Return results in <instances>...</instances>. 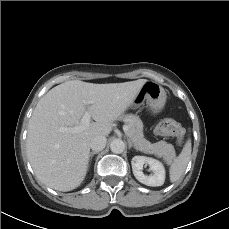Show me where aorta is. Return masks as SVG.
<instances>
[{
	"label": "aorta",
	"instance_id": "aorta-1",
	"mask_svg": "<svg viewBox=\"0 0 229 229\" xmlns=\"http://www.w3.org/2000/svg\"><path fill=\"white\" fill-rule=\"evenodd\" d=\"M113 153L120 154L125 149V143L121 139H114L110 144Z\"/></svg>",
	"mask_w": 229,
	"mask_h": 229
}]
</instances>
